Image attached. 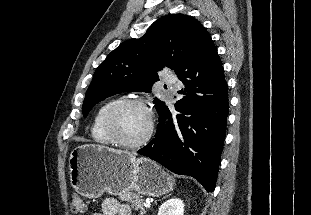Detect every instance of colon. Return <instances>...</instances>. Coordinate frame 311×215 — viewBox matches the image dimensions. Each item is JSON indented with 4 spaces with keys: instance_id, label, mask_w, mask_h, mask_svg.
Segmentation results:
<instances>
[{
    "instance_id": "5ec220e1",
    "label": "colon",
    "mask_w": 311,
    "mask_h": 215,
    "mask_svg": "<svg viewBox=\"0 0 311 215\" xmlns=\"http://www.w3.org/2000/svg\"><path fill=\"white\" fill-rule=\"evenodd\" d=\"M86 203L79 195H73L71 200V210L73 213H84L86 211Z\"/></svg>"
}]
</instances>
